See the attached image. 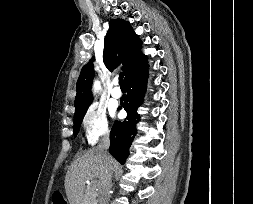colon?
Listing matches in <instances>:
<instances>
[{
  "mask_svg": "<svg viewBox=\"0 0 253 204\" xmlns=\"http://www.w3.org/2000/svg\"><path fill=\"white\" fill-rule=\"evenodd\" d=\"M52 204H63V197L60 193H56L53 195Z\"/></svg>",
  "mask_w": 253,
  "mask_h": 204,
  "instance_id": "colon-1",
  "label": "colon"
}]
</instances>
